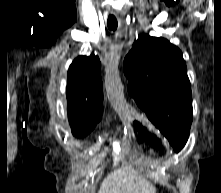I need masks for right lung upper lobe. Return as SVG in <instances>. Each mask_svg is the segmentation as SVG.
Here are the masks:
<instances>
[{"label":"right lung upper lobe","mask_w":221,"mask_h":193,"mask_svg":"<svg viewBox=\"0 0 221 193\" xmlns=\"http://www.w3.org/2000/svg\"><path fill=\"white\" fill-rule=\"evenodd\" d=\"M101 63L94 54L79 56L69 67L67 80L68 118L73 132L100 120L103 109Z\"/></svg>","instance_id":"cb5924a9"}]
</instances>
